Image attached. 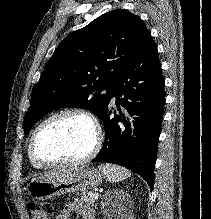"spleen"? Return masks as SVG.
<instances>
[{
    "instance_id": "obj_1",
    "label": "spleen",
    "mask_w": 211,
    "mask_h": 219,
    "mask_svg": "<svg viewBox=\"0 0 211 219\" xmlns=\"http://www.w3.org/2000/svg\"><path fill=\"white\" fill-rule=\"evenodd\" d=\"M100 170L106 175L110 182H119L131 176V173L119 166L111 164H101Z\"/></svg>"
}]
</instances>
